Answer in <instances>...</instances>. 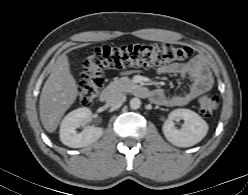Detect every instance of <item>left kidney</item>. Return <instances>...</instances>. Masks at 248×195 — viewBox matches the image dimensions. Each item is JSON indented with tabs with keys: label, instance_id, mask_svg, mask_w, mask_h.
I'll list each match as a JSON object with an SVG mask.
<instances>
[{
	"label": "left kidney",
	"instance_id": "5707ae66",
	"mask_svg": "<svg viewBox=\"0 0 248 195\" xmlns=\"http://www.w3.org/2000/svg\"><path fill=\"white\" fill-rule=\"evenodd\" d=\"M182 119L184 124L178 129L174 121ZM166 139L178 147H190L200 142L208 132V124L194 111L175 109L163 124Z\"/></svg>",
	"mask_w": 248,
	"mask_h": 195
}]
</instances>
